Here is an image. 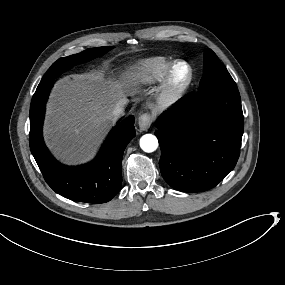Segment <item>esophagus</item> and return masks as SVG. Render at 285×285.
I'll list each match as a JSON object with an SVG mask.
<instances>
[{
    "label": "esophagus",
    "mask_w": 285,
    "mask_h": 285,
    "mask_svg": "<svg viewBox=\"0 0 285 285\" xmlns=\"http://www.w3.org/2000/svg\"><path fill=\"white\" fill-rule=\"evenodd\" d=\"M152 120L150 113H144L139 117V127L141 130H147L151 126Z\"/></svg>",
    "instance_id": "obj_1"
}]
</instances>
